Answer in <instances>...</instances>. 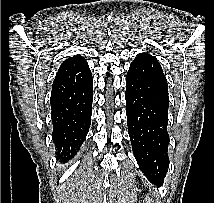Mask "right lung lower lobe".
Listing matches in <instances>:
<instances>
[{
    "label": "right lung lower lobe",
    "mask_w": 214,
    "mask_h": 203,
    "mask_svg": "<svg viewBox=\"0 0 214 203\" xmlns=\"http://www.w3.org/2000/svg\"><path fill=\"white\" fill-rule=\"evenodd\" d=\"M93 79L88 63L55 77L50 97L57 157L72 159L86 139L92 114Z\"/></svg>",
    "instance_id": "right-lung-lower-lobe-1"
}]
</instances>
